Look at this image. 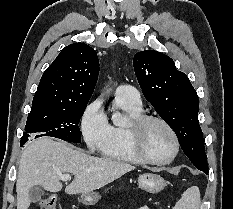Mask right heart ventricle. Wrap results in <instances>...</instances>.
I'll return each mask as SVG.
<instances>
[{"label": "right heart ventricle", "mask_w": 233, "mask_h": 209, "mask_svg": "<svg viewBox=\"0 0 233 209\" xmlns=\"http://www.w3.org/2000/svg\"><path fill=\"white\" fill-rule=\"evenodd\" d=\"M116 105L120 107L132 121L142 114L141 105H133L118 98ZM101 153L108 159L130 163H143L132 151L129 140L128 125L111 126V134L108 142L101 148Z\"/></svg>", "instance_id": "1"}]
</instances>
